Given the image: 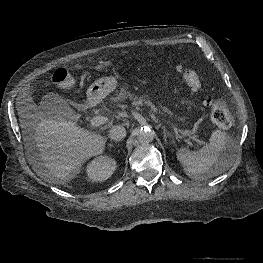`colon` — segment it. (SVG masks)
Segmentation results:
<instances>
[{
    "label": "colon",
    "mask_w": 263,
    "mask_h": 263,
    "mask_svg": "<svg viewBox=\"0 0 263 263\" xmlns=\"http://www.w3.org/2000/svg\"><path fill=\"white\" fill-rule=\"evenodd\" d=\"M109 65V61H101L95 66V69L103 70ZM177 71L182 75L192 92H197L200 89L201 83L196 72L183 66H178ZM52 79L54 83L64 86H70L75 81L74 77L63 68L57 69ZM207 105L211 109V120L213 123L218 127L228 128L231 124V119L226 107L221 102L214 100H208Z\"/></svg>",
    "instance_id": "1"
}]
</instances>
